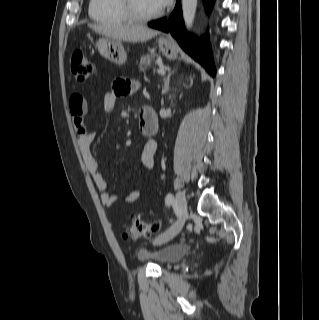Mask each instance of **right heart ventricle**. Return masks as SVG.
I'll list each match as a JSON object with an SVG mask.
<instances>
[{
    "mask_svg": "<svg viewBox=\"0 0 319 320\" xmlns=\"http://www.w3.org/2000/svg\"><path fill=\"white\" fill-rule=\"evenodd\" d=\"M89 16L102 24L120 25L130 22L119 0H90Z\"/></svg>",
    "mask_w": 319,
    "mask_h": 320,
    "instance_id": "e07e8e85",
    "label": "right heart ventricle"
}]
</instances>
